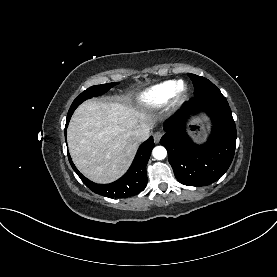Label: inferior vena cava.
I'll use <instances>...</instances> for the list:
<instances>
[{"label": "inferior vena cava", "mask_w": 277, "mask_h": 277, "mask_svg": "<svg viewBox=\"0 0 277 277\" xmlns=\"http://www.w3.org/2000/svg\"><path fill=\"white\" fill-rule=\"evenodd\" d=\"M149 132L150 127L144 124L133 133V137L137 142H142L148 139Z\"/></svg>", "instance_id": "1"}]
</instances>
